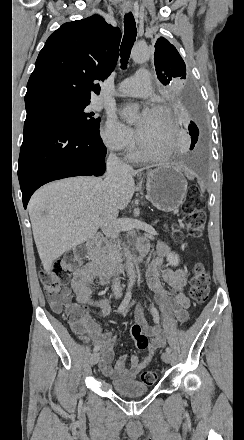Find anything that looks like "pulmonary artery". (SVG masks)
Masks as SVG:
<instances>
[{
    "label": "pulmonary artery",
    "mask_w": 244,
    "mask_h": 440,
    "mask_svg": "<svg viewBox=\"0 0 244 440\" xmlns=\"http://www.w3.org/2000/svg\"><path fill=\"white\" fill-rule=\"evenodd\" d=\"M147 69H138L137 75H127L123 83V90L115 93L117 96L146 97L151 89L150 77Z\"/></svg>",
    "instance_id": "obj_1"
}]
</instances>
